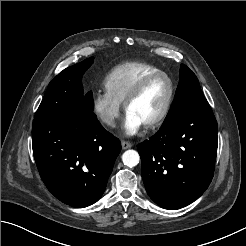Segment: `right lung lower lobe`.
I'll use <instances>...</instances> for the list:
<instances>
[{
    "mask_svg": "<svg viewBox=\"0 0 246 246\" xmlns=\"http://www.w3.org/2000/svg\"><path fill=\"white\" fill-rule=\"evenodd\" d=\"M32 147L39 174L63 203L86 207L103 194L121 150L93 111L61 119H34Z\"/></svg>",
    "mask_w": 246,
    "mask_h": 246,
    "instance_id": "1",
    "label": "right lung lower lobe"
}]
</instances>
